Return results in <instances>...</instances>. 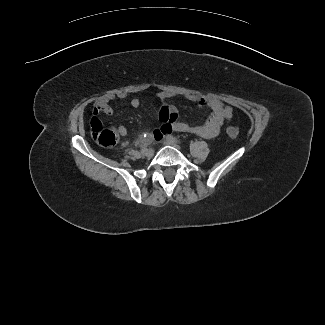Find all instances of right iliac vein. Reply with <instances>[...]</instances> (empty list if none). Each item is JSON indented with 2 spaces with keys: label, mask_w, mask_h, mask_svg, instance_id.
Instances as JSON below:
<instances>
[{
  "label": "right iliac vein",
  "mask_w": 325,
  "mask_h": 325,
  "mask_svg": "<svg viewBox=\"0 0 325 325\" xmlns=\"http://www.w3.org/2000/svg\"><path fill=\"white\" fill-rule=\"evenodd\" d=\"M154 154V151L152 149H147L144 153V155L148 158L152 157Z\"/></svg>",
  "instance_id": "right-iliac-vein-1"
}]
</instances>
